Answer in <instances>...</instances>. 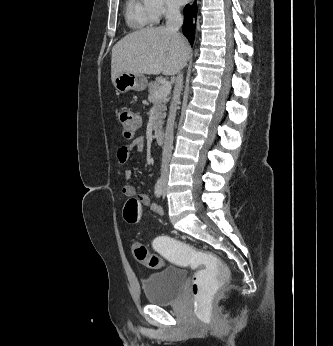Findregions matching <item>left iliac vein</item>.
Returning a JSON list of instances; mask_svg holds the SVG:
<instances>
[{"mask_svg": "<svg viewBox=\"0 0 333 346\" xmlns=\"http://www.w3.org/2000/svg\"><path fill=\"white\" fill-rule=\"evenodd\" d=\"M165 195H166V185H164L163 187V197H165Z\"/></svg>", "mask_w": 333, "mask_h": 346, "instance_id": "4c4485c4", "label": "left iliac vein"}]
</instances>
